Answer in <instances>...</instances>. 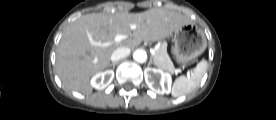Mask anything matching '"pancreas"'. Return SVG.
Here are the masks:
<instances>
[{
	"instance_id": "cf45deb5",
	"label": "pancreas",
	"mask_w": 276,
	"mask_h": 120,
	"mask_svg": "<svg viewBox=\"0 0 276 120\" xmlns=\"http://www.w3.org/2000/svg\"><path fill=\"white\" fill-rule=\"evenodd\" d=\"M155 65L162 70L169 72H174L173 63L167 53V45L162 44L159 48L155 49V54L153 55Z\"/></svg>"
}]
</instances>
